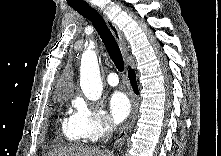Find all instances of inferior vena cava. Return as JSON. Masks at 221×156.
I'll use <instances>...</instances> for the list:
<instances>
[{"label":"inferior vena cava","mask_w":221,"mask_h":156,"mask_svg":"<svg viewBox=\"0 0 221 156\" xmlns=\"http://www.w3.org/2000/svg\"><path fill=\"white\" fill-rule=\"evenodd\" d=\"M112 133H113V123L110 121L107 124L106 132L103 136V142L108 141V139L112 136Z\"/></svg>","instance_id":"inferior-vena-cava-1"}]
</instances>
